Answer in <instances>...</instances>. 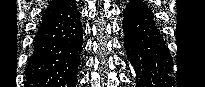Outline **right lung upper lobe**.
I'll list each match as a JSON object with an SVG mask.
<instances>
[{
    "label": "right lung upper lobe",
    "instance_id": "1",
    "mask_svg": "<svg viewBox=\"0 0 205 87\" xmlns=\"http://www.w3.org/2000/svg\"><path fill=\"white\" fill-rule=\"evenodd\" d=\"M59 1H60V0H54V1H52L49 5L55 4V3L59 2Z\"/></svg>",
    "mask_w": 205,
    "mask_h": 87
}]
</instances>
